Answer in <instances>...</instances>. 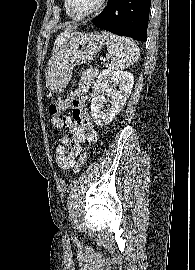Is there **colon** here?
<instances>
[{
  "instance_id": "1",
  "label": "colon",
  "mask_w": 195,
  "mask_h": 270,
  "mask_svg": "<svg viewBox=\"0 0 195 270\" xmlns=\"http://www.w3.org/2000/svg\"><path fill=\"white\" fill-rule=\"evenodd\" d=\"M67 99L68 97L65 98H60L52 102L49 107H48V112L51 117L57 116L65 109L67 108ZM86 161V153L82 152L79 156L78 161L75 164V172L78 173L80 170L83 168L84 164Z\"/></svg>"
}]
</instances>
